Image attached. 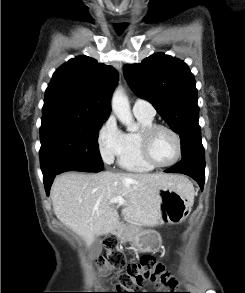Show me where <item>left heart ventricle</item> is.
<instances>
[{"label":"left heart ventricle","instance_id":"b2bd125f","mask_svg":"<svg viewBox=\"0 0 245 293\" xmlns=\"http://www.w3.org/2000/svg\"><path fill=\"white\" fill-rule=\"evenodd\" d=\"M150 152L158 163H168L176 155L177 146L173 136L166 130H158L152 137Z\"/></svg>","mask_w":245,"mask_h":293}]
</instances>
